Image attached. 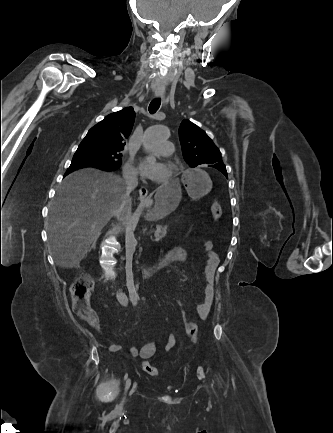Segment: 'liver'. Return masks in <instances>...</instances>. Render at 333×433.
<instances>
[{"label": "liver", "instance_id": "1", "mask_svg": "<svg viewBox=\"0 0 333 433\" xmlns=\"http://www.w3.org/2000/svg\"><path fill=\"white\" fill-rule=\"evenodd\" d=\"M183 188L180 183H160L145 220L167 216ZM130 207L126 184L113 173L85 168L66 176L49 204L48 239L55 263L62 268L79 266L109 220L117 213L123 217Z\"/></svg>", "mask_w": 333, "mask_h": 433}]
</instances>
